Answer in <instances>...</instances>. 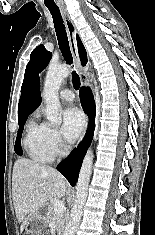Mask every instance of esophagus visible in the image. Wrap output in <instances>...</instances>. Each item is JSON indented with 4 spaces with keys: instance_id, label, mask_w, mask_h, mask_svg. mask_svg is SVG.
Returning <instances> with one entry per match:
<instances>
[{
    "instance_id": "1",
    "label": "esophagus",
    "mask_w": 155,
    "mask_h": 235,
    "mask_svg": "<svg viewBox=\"0 0 155 235\" xmlns=\"http://www.w3.org/2000/svg\"><path fill=\"white\" fill-rule=\"evenodd\" d=\"M61 14H62V17H63V20H64V24L66 26L69 46H70V50H71V53H72V56H73V59H74L75 67H76L77 73L80 76L81 85H84V82L82 80L83 67H82L81 62H80L78 49H77V42H76V27H75L73 21L71 20V18L69 16L68 12L66 11V9H61ZM87 125H88V118L86 119V124H85V129H84V132H83V136L86 133Z\"/></svg>"
}]
</instances>
